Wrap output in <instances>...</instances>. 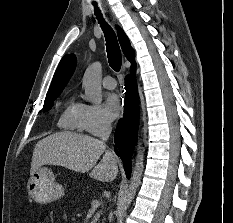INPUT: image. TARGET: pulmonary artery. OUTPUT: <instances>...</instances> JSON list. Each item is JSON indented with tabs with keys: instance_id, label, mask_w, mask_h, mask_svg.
I'll use <instances>...</instances> for the list:
<instances>
[{
	"instance_id": "obj_1",
	"label": "pulmonary artery",
	"mask_w": 233,
	"mask_h": 223,
	"mask_svg": "<svg viewBox=\"0 0 233 223\" xmlns=\"http://www.w3.org/2000/svg\"><path fill=\"white\" fill-rule=\"evenodd\" d=\"M103 84H104V87L107 88V89H114L115 88V80L112 78V77H105L103 79Z\"/></svg>"
}]
</instances>
